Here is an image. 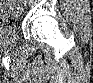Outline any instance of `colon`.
<instances>
[{"mask_svg":"<svg viewBox=\"0 0 93 83\" xmlns=\"http://www.w3.org/2000/svg\"><path fill=\"white\" fill-rule=\"evenodd\" d=\"M5 3H9L5 2ZM17 10L15 8H13L12 6L8 7V6H4L1 9V13H0V21L2 23V25H9L12 23L13 21V17H14V13Z\"/></svg>","mask_w":93,"mask_h":83,"instance_id":"1","label":"colon"}]
</instances>
